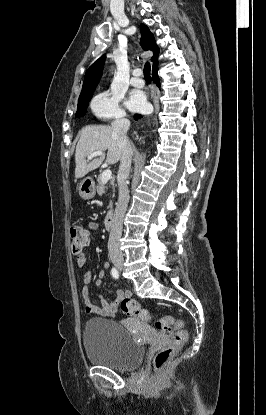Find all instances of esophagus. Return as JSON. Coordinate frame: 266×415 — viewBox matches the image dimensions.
Here are the masks:
<instances>
[{
	"mask_svg": "<svg viewBox=\"0 0 266 415\" xmlns=\"http://www.w3.org/2000/svg\"><path fill=\"white\" fill-rule=\"evenodd\" d=\"M157 101H158V96L155 97V100H154L155 105H156Z\"/></svg>",
	"mask_w": 266,
	"mask_h": 415,
	"instance_id": "1",
	"label": "esophagus"
}]
</instances>
